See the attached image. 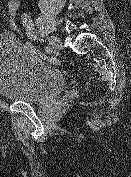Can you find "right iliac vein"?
I'll list each match as a JSON object with an SVG mask.
<instances>
[{
  "instance_id": "right-iliac-vein-1",
  "label": "right iliac vein",
  "mask_w": 131,
  "mask_h": 177,
  "mask_svg": "<svg viewBox=\"0 0 131 177\" xmlns=\"http://www.w3.org/2000/svg\"><path fill=\"white\" fill-rule=\"evenodd\" d=\"M48 42L53 48L59 49V48L62 47L61 40L56 36H49L48 37Z\"/></svg>"
}]
</instances>
